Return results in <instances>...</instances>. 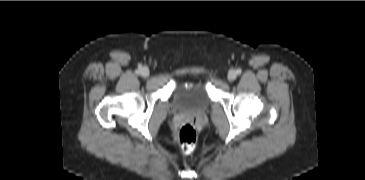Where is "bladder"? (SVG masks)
I'll return each instance as SVG.
<instances>
[{"label":"bladder","mask_w":365,"mask_h":180,"mask_svg":"<svg viewBox=\"0 0 365 180\" xmlns=\"http://www.w3.org/2000/svg\"><path fill=\"white\" fill-rule=\"evenodd\" d=\"M172 104L179 111L198 112L205 110L210 104L208 89L199 80L181 85L174 92Z\"/></svg>","instance_id":"bladder-1"}]
</instances>
